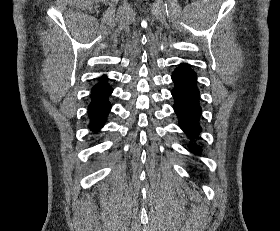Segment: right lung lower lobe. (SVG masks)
Instances as JSON below:
<instances>
[{
	"label": "right lung lower lobe",
	"mask_w": 280,
	"mask_h": 231,
	"mask_svg": "<svg viewBox=\"0 0 280 231\" xmlns=\"http://www.w3.org/2000/svg\"><path fill=\"white\" fill-rule=\"evenodd\" d=\"M112 93V88L91 94V102L88 106L89 127L93 131H98L104 124L111 109L108 96Z\"/></svg>",
	"instance_id": "1"
}]
</instances>
